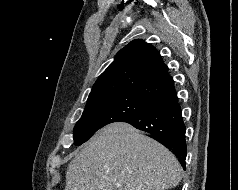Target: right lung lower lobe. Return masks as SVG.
<instances>
[{
  "mask_svg": "<svg viewBox=\"0 0 238 190\" xmlns=\"http://www.w3.org/2000/svg\"><path fill=\"white\" fill-rule=\"evenodd\" d=\"M135 128L148 132L155 140L171 150L185 169L187 146L177 93L173 89L146 110L125 119Z\"/></svg>",
  "mask_w": 238,
  "mask_h": 190,
  "instance_id": "1",
  "label": "right lung lower lobe"
}]
</instances>
